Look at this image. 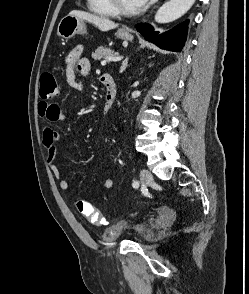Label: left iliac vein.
I'll return each instance as SVG.
<instances>
[{"label":"left iliac vein","instance_id":"left-iliac-vein-1","mask_svg":"<svg viewBox=\"0 0 249 294\" xmlns=\"http://www.w3.org/2000/svg\"><path fill=\"white\" fill-rule=\"evenodd\" d=\"M140 179H141V182L146 186H149L153 182V176L150 173V171H148L147 169L141 170Z\"/></svg>","mask_w":249,"mask_h":294}]
</instances>
